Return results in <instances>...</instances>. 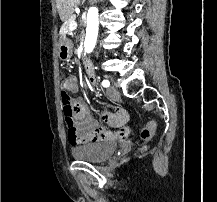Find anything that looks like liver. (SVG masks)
Listing matches in <instances>:
<instances>
[{"label":"liver","instance_id":"obj_1","mask_svg":"<svg viewBox=\"0 0 217 202\" xmlns=\"http://www.w3.org/2000/svg\"><path fill=\"white\" fill-rule=\"evenodd\" d=\"M80 0H56L57 12L60 16L61 22L70 20L78 6Z\"/></svg>","mask_w":217,"mask_h":202}]
</instances>
